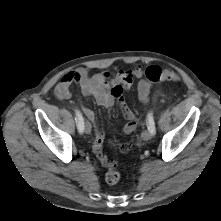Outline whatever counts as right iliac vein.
I'll return each mask as SVG.
<instances>
[{
	"instance_id": "right-iliac-vein-1",
	"label": "right iliac vein",
	"mask_w": 221,
	"mask_h": 221,
	"mask_svg": "<svg viewBox=\"0 0 221 221\" xmlns=\"http://www.w3.org/2000/svg\"><path fill=\"white\" fill-rule=\"evenodd\" d=\"M84 130L87 134L91 132V124L89 122H85Z\"/></svg>"
}]
</instances>
